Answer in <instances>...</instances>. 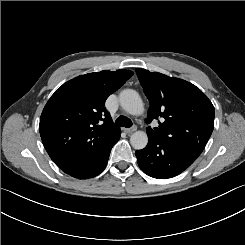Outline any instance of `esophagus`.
I'll return each instance as SVG.
<instances>
[{"label":"esophagus","mask_w":245,"mask_h":245,"mask_svg":"<svg viewBox=\"0 0 245 245\" xmlns=\"http://www.w3.org/2000/svg\"><path fill=\"white\" fill-rule=\"evenodd\" d=\"M126 133H132V132H135L137 130V127L136 126H133L131 128H124L123 129Z\"/></svg>","instance_id":"obj_1"}]
</instances>
